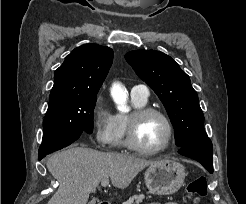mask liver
<instances>
[{
	"label": "liver",
	"instance_id": "6515ba94",
	"mask_svg": "<svg viewBox=\"0 0 246 204\" xmlns=\"http://www.w3.org/2000/svg\"><path fill=\"white\" fill-rule=\"evenodd\" d=\"M155 161L121 153H103L72 147L50 156L47 169L59 181V188L47 204H87L90 193L103 179L124 189L135 176Z\"/></svg>",
	"mask_w": 246,
	"mask_h": 204
}]
</instances>
